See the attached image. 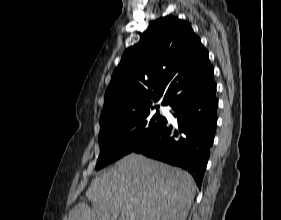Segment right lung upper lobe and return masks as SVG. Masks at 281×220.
I'll return each instance as SVG.
<instances>
[{"label": "right lung upper lobe", "instance_id": "cb5924a9", "mask_svg": "<svg viewBox=\"0 0 281 220\" xmlns=\"http://www.w3.org/2000/svg\"><path fill=\"white\" fill-rule=\"evenodd\" d=\"M208 51L191 26L174 16L149 24L139 43L125 50L106 90L100 128L145 109L163 97L170 104L181 94L214 82ZM158 108V106H156Z\"/></svg>", "mask_w": 281, "mask_h": 220}]
</instances>
